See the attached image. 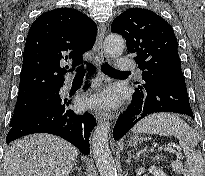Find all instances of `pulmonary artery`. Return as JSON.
<instances>
[{
    "label": "pulmonary artery",
    "mask_w": 205,
    "mask_h": 176,
    "mask_svg": "<svg viewBox=\"0 0 205 176\" xmlns=\"http://www.w3.org/2000/svg\"><path fill=\"white\" fill-rule=\"evenodd\" d=\"M137 68L135 63L128 55H122L119 57L118 69L122 71H134Z\"/></svg>",
    "instance_id": "e3ab8cb5"
}]
</instances>
